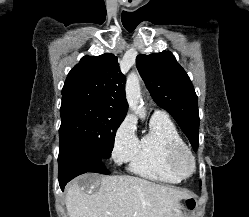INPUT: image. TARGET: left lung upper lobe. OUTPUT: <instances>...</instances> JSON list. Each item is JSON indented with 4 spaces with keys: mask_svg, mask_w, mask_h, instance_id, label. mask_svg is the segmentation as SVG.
<instances>
[{
    "mask_svg": "<svg viewBox=\"0 0 249 217\" xmlns=\"http://www.w3.org/2000/svg\"><path fill=\"white\" fill-rule=\"evenodd\" d=\"M136 65L154 101L173 116L197 150L198 98L187 73L169 51L138 55Z\"/></svg>",
    "mask_w": 249,
    "mask_h": 217,
    "instance_id": "obj_1",
    "label": "left lung upper lobe"
}]
</instances>
